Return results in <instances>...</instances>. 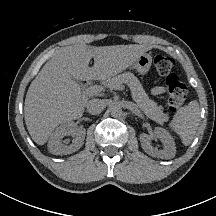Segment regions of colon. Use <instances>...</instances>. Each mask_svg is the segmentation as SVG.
Segmentation results:
<instances>
[{
  "label": "colon",
  "mask_w": 216,
  "mask_h": 216,
  "mask_svg": "<svg viewBox=\"0 0 216 216\" xmlns=\"http://www.w3.org/2000/svg\"><path fill=\"white\" fill-rule=\"evenodd\" d=\"M154 66L156 71L166 78L168 88V110L176 112L185 102L187 89L185 84L172 73L174 60L166 55H156L154 58Z\"/></svg>",
  "instance_id": "1"
}]
</instances>
